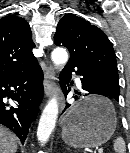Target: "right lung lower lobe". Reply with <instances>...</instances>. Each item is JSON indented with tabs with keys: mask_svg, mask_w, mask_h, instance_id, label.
Listing matches in <instances>:
<instances>
[{
	"mask_svg": "<svg viewBox=\"0 0 130 153\" xmlns=\"http://www.w3.org/2000/svg\"><path fill=\"white\" fill-rule=\"evenodd\" d=\"M43 96V72L38 65L27 72L0 77V124L11 129L24 143L29 127L37 116ZM13 99L17 108L3 102Z\"/></svg>",
	"mask_w": 130,
	"mask_h": 153,
	"instance_id": "obj_1",
	"label": "right lung lower lobe"
}]
</instances>
